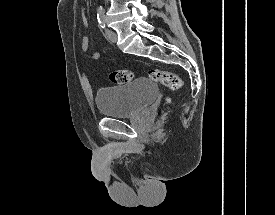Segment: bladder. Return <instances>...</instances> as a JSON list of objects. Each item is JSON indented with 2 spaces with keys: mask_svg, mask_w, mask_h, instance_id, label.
Here are the masks:
<instances>
[{
  "mask_svg": "<svg viewBox=\"0 0 275 215\" xmlns=\"http://www.w3.org/2000/svg\"><path fill=\"white\" fill-rule=\"evenodd\" d=\"M158 93V87L150 79L140 77L123 85L98 91L95 101L102 116L129 118L149 106Z\"/></svg>",
  "mask_w": 275,
  "mask_h": 215,
  "instance_id": "31cf9c89",
  "label": "bladder"
}]
</instances>
